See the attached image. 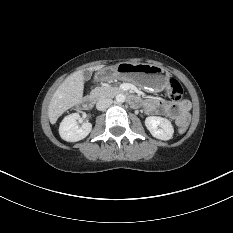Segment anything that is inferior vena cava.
<instances>
[{"label": "inferior vena cava", "instance_id": "1", "mask_svg": "<svg viewBox=\"0 0 233 233\" xmlns=\"http://www.w3.org/2000/svg\"><path fill=\"white\" fill-rule=\"evenodd\" d=\"M112 102H113V100L110 98L100 99L96 103V108H97V110L103 111V110L107 109L112 104Z\"/></svg>", "mask_w": 233, "mask_h": 233}]
</instances>
